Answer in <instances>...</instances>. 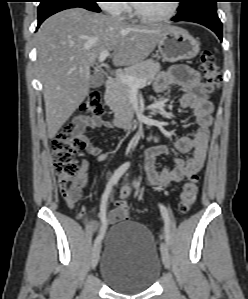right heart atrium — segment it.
I'll return each instance as SVG.
<instances>
[{
	"mask_svg": "<svg viewBox=\"0 0 248 299\" xmlns=\"http://www.w3.org/2000/svg\"><path fill=\"white\" fill-rule=\"evenodd\" d=\"M102 9L114 16H122L127 13V5L124 0H101Z\"/></svg>",
	"mask_w": 248,
	"mask_h": 299,
	"instance_id": "d8ad5b80",
	"label": "right heart atrium"
}]
</instances>
